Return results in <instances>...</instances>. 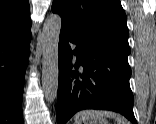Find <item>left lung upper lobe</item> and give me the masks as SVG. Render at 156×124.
Instances as JSON below:
<instances>
[{"label":"left lung upper lobe","mask_w":156,"mask_h":124,"mask_svg":"<svg viewBox=\"0 0 156 124\" xmlns=\"http://www.w3.org/2000/svg\"><path fill=\"white\" fill-rule=\"evenodd\" d=\"M52 12L78 36L130 54L127 18L119 0H54Z\"/></svg>","instance_id":"left-lung-upper-lobe-1"}]
</instances>
